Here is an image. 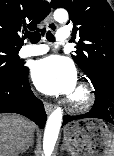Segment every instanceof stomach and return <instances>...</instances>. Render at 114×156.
Masks as SVG:
<instances>
[{
    "label": "stomach",
    "instance_id": "obj_1",
    "mask_svg": "<svg viewBox=\"0 0 114 156\" xmlns=\"http://www.w3.org/2000/svg\"><path fill=\"white\" fill-rule=\"evenodd\" d=\"M64 143L72 156H108L114 134L99 119H83L64 128Z\"/></svg>",
    "mask_w": 114,
    "mask_h": 156
}]
</instances>
